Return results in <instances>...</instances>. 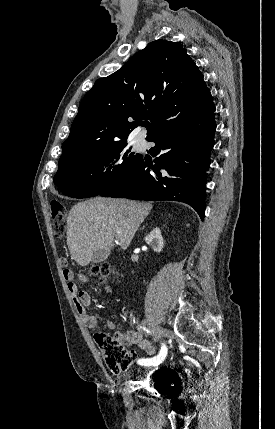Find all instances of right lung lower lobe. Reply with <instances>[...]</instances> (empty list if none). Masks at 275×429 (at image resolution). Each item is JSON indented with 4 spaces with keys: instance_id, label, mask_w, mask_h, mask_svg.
<instances>
[{
    "instance_id": "right-lung-lower-lobe-1",
    "label": "right lung lower lobe",
    "mask_w": 275,
    "mask_h": 429,
    "mask_svg": "<svg viewBox=\"0 0 275 429\" xmlns=\"http://www.w3.org/2000/svg\"><path fill=\"white\" fill-rule=\"evenodd\" d=\"M215 108L205 116L153 135L154 166L142 157L120 181L100 196L134 200H173L189 204L204 220L206 169L216 130ZM149 168L146 169V167Z\"/></svg>"
}]
</instances>
